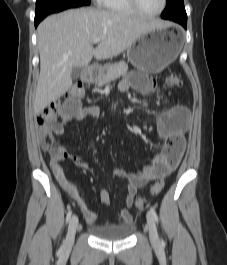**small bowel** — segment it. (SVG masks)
Returning a JSON list of instances; mask_svg holds the SVG:
<instances>
[{
	"label": "small bowel",
	"mask_w": 227,
	"mask_h": 265,
	"mask_svg": "<svg viewBox=\"0 0 227 265\" xmlns=\"http://www.w3.org/2000/svg\"><path fill=\"white\" fill-rule=\"evenodd\" d=\"M118 89L122 93L133 89L141 94L149 95L155 89V82L147 76L146 72H127L126 77L119 83ZM73 95L65 96L64 102H61L60 113H64L62 120L51 128V132L55 136L63 135L65 128L76 121H80L86 117H97L100 114L98 107H87V104H83V99H80L79 91H74ZM188 122L189 112L183 106H173L161 112L157 117L156 124L157 137L163 144L162 151L148 164L136 170L127 172L121 168L113 169V176L127 181L124 198L127 208H123L119 212V222L121 224H127L132 221V214L129 208L135 203L138 188L168 173L174 168L167 165L166 157L169 154L181 156L184 149L182 134L187 128ZM46 150L50 155V167L58 184L80 208L87 222L90 224L95 223L97 221L96 213L85 205L60 166L62 161L71 160L80 167L88 168L90 166L89 162L84 158L72 155L62 145H55ZM99 198L101 203L105 205H109L111 202L110 195L106 190L100 192Z\"/></svg>",
	"instance_id": "obj_1"
}]
</instances>
